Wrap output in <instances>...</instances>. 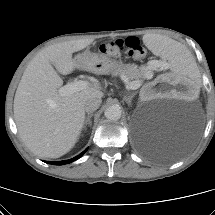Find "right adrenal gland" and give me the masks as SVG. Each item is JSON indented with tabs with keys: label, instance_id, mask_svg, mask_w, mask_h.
I'll list each match as a JSON object with an SVG mask.
<instances>
[{
	"label": "right adrenal gland",
	"instance_id": "2a0ac1e0",
	"mask_svg": "<svg viewBox=\"0 0 215 215\" xmlns=\"http://www.w3.org/2000/svg\"><path fill=\"white\" fill-rule=\"evenodd\" d=\"M92 116H93L92 113H89V114H88V116H87L86 119H85L83 128H86L87 125H89V126L92 125V122H91V117H92Z\"/></svg>",
	"mask_w": 215,
	"mask_h": 215
}]
</instances>
